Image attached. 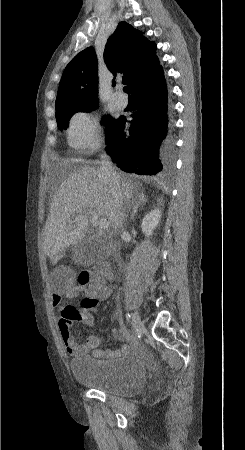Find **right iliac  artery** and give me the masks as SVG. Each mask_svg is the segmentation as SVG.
Listing matches in <instances>:
<instances>
[{"label": "right iliac artery", "instance_id": "1", "mask_svg": "<svg viewBox=\"0 0 245 450\" xmlns=\"http://www.w3.org/2000/svg\"><path fill=\"white\" fill-rule=\"evenodd\" d=\"M130 318H131L130 314L126 313V319H127L128 322H130Z\"/></svg>", "mask_w": 245, "mask_h": 450}]
</instances>
